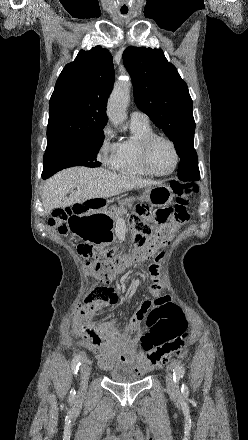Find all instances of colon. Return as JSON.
I'll use <instances>...</instances> for the list:
<instances>
[{"instance_id":"5ec220e1","label":"colon","mask_w":248,"mask_h":440,"mask_svg":"<svg viewBox=\"0 0 248 440\" xmlns=\"http://www.w3.org/2000/svg\"><path fill=\"white\" fill-rule=\"evenodd\" d=\"M172 189L177 195V204L173 208H163L150 212L145 206L135 210L132 224L135 228L134 240L138 247L137 259H161V247L168 244L177 229L191 218V207L198 194L194 183L174 181ZM70 218H79L70 209H57L49 220V225L57 232L69 231ZM80 255L92 261L87 263L89 272L101 282H109L128 261L115 256L114 249L104 250L97 246H78ZM114 291L101 287L89 293L83 307L92 306L97 300H109ZM154 306L147 316V330L141 339L142 347L156 365L164 362L171 354H180L185 346L186 321L179 307L172 301Z\"/></svg>"}]
</instances>
